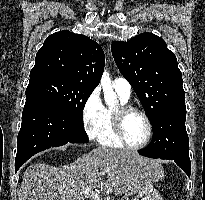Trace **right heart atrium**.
I'll use <instances>...</instances> for the list:
<instances>
[{"label":"right heart atrium","instance_id":"right-heart-atrium-1","mask_svg":"<svg viewBox=\"0 0 205 200\" xmlns=\"http://www.w3.org/2000/svg\"><path fill=\"white\" fill-rule=\"evenodd\" d=\"M81 115L86 135L91 140L97 139L105 119V107L98 89H94L84 101Z\"/></svg>","mask_w":205,"mask_h":200}]
</instances>
